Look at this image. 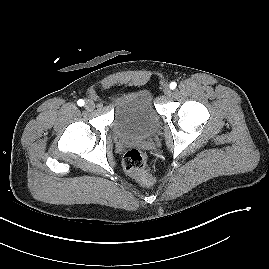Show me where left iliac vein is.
<instances>
[{"label": "left iliac vein", "mask_w": 269, "mask_h": 269, "mask_svg": "<svg viewBox=\"0 0 269 269\" xmlns=\"http://www.w3.org/2000/svg\"><path fill=\"white\" fill-rule=\"evenodd\" d=\"M163 93L166 95V96H170L172 91L170 89V87L168 85H165L164 88H163Z\"/></svg>", "instance_id": "4c4485c4"}]
</instances>
